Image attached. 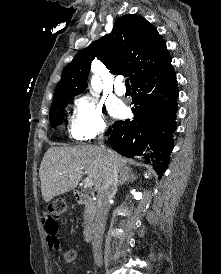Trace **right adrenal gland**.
Instances as JSON below:
<instances>
[{
    "mask_svg": "<svg viewBox=\"0 0 221 274\" xmlns=\"http://www.w3.org/2000/svg\"><path fill=\"white\" fill-rule=\"evenodd\" d=\"M136 176L132 172V170L128 167H125L120 170V175H119V185L121 186L124 182H133L136 180Z\"/></svg>",
    "mask_w": 221,
    "mask_h": 274,
    "instance_id": "right-adrenal-gland-1",
    "label": "right adrenal gland"
}]
</instances>
